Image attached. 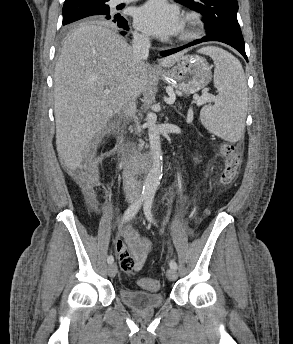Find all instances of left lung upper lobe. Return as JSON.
Returning <instances> with one entry per match:
<instances>
[{
    "label": "left lung upper lobe",
    "instance_id": "left-lung-upper-lobe-1",
    "mask_svg": "<svg viewBox=\"0 0 293 344\" xmlns=\"http://www.w3.org/2000/svg\"><path fill=\"white\" fill-rule=\"evenodd\" d=\"M204 17L207 35L224 37L244 44L240 25L237 20V0H175Z\"/></svg>",
    "mask_w": 293,
    "mask_h": 344
}]
</instances>
